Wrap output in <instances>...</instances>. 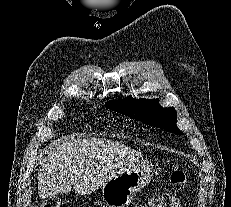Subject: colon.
I'll use <instances>...</instances> for the list:
<instances>
[{"instance_id":"5ec220e1","label":"colon","mask_w":231,"mask_h":207,"mask_svg":"<svg viewBox=\"0 0 231 207\" xmlns=\"http://www.w3.org/2000/svg\"><path fill=\"white\" fill-rule=\"evenodd\" d=\"M171 182L176 187V191L153 196L146 204L139 207H182L180 191L186 185L185 173L180 169H174L171 172ZM42 207H63V205L58 199H48Z\"/></svg>"}]
</instances>
